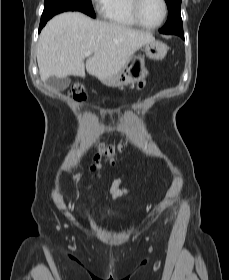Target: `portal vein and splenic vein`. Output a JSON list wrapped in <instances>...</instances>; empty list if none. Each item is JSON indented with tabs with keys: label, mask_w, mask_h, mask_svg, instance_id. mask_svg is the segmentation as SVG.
<instances>
[{
	"label": "portal vein and splenic vein",
	"mask_w": 229,
	"mask_h": 280,
	"mask_svg": "<svg viewBox=\"0 0 229 280\" xmlns=\"http://www.w3.org/2000/svg\"><path fill=\"white\" fill-rule=\"evenodd\" d=\"M92 54V52L88 51L85 53V57H89Z\"/></svg>",
	"instance_id": "obj_1"
}]
</instances>
